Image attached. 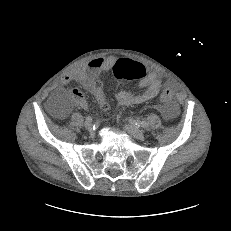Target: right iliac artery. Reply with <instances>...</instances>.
<instances>
[{"label":"right iliac artery","mask_w":231,"mask_h":231,"mask_svg":"<svg viewBox=\"0 0 231 231\" xmlns=\"http://www.w3.org/2000/svg\"><path fill=\"white\" fill-rule=\"evenodd\" d=\"M86 122H92V118L90 116L86 117Z\"/></svg>","instance_id":"1"}]
</instances>
